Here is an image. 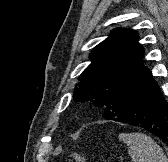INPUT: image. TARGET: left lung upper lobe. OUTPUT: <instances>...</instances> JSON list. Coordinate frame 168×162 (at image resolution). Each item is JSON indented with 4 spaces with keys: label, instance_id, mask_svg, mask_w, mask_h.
I'll return each mask as SVG.
<instances>
[{
    "label": "left lung upper lobe",
    "instance_id": "5c2ea615",
    "mask_svg": "<svg viewBox=\"0 0 168 162\" xmlns=\"http://www.w3.org/2000/svg\"><path fill=\"white\" fill-rule=\"evenodd\" d=\"M134 30L116 28L90 54L92 63L79 77L75 102H87L105 109L109 96L142 66L144 50Z\"/></svg>",
    "mask_w": 168,
    "mask_h": 162
}]
</instances>
